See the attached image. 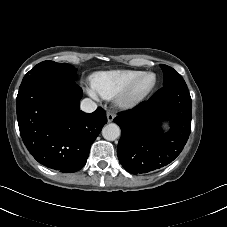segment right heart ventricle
I'll list each match as a JSON object with an SVG mask.
<instances>
[{
	"label": "right heart ventricle",
	"instance_id": "e07e8e85",
	"mask_svg": "<svg viewBox=\"0 0 227 227\" xmlns=\"http://www.w3.org/2000/svg\"><path fill=\"white\" fill-rule=\"evenodd\" d=\"M141 73L129 69L97 72L91 77V85L100 96L111 98L126 89Z\"/></svg>",
	"mask_w": 227,
	"mask_h": 227
}]
</instances>
